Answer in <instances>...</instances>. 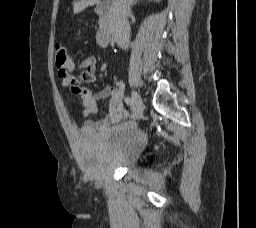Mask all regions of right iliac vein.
I'll use <instances>...</instances> for the list:
<instances>
[{
  "label": "right iliac vein",
  "mask_w": 256,
  "mask_h": 228,
  "mask_svg": "<svg viewBox=\"0 0 256 228\" xmlns=\"http://www.w3.org/2000/svg\"><path fill=\"white\" fill-rule=\"evenodd\" d=\"M132 100H133L134 118L138 119V118L142 117L143 110H144L142 97L138 92L133 91L132 92Z\"/></svg>",
  "instance_id": "1"
}]
</instances>
